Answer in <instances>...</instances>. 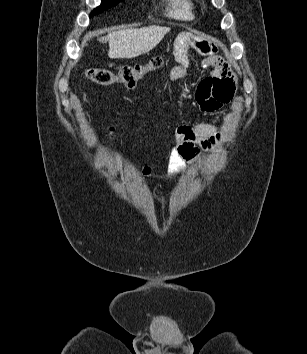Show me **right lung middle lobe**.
Here are the masks:
<instances>
[{
    "mask_svg": "<svg viewBox=\"0 0 307 354\" xmlns=\"http://www.w3.org/2000/svg\"><path fill=\"white\" fill-rule=\"evenodd\" d=\"M122 1H124V0H102L101 5L92 11L91 16L99 14L103 10H107L113 6H116L119 2H122Z\"/></svg>",
    "mask_w": 307,
    "mask_h": 354,
    "instance_id": "dd1d6c3e",
    "label": "right lung middle lobe"
}]
</instances>
